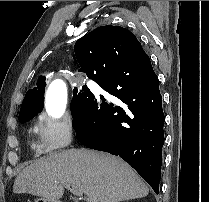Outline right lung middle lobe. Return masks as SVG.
<instances>
[{"mask_svg":"<svg viewBox=\"0 0 209 202\" xmlns=\"http://www.w3.org/2000/svg\"><path fill=\"white\" fill-rule=\"evenodd\" d=\"M92 96L93 93L89 90V88L86 85L82 87H74L73 98L71 102L72 117H77L83 112L88 100ZM42 109L43 106H37L20 110V123H25L31 120L34 116L41 112Z\"/></svg>","mask_w":209,"mask_h":202,"instance_id":"1","label":"right lung middle lobe"}]
</instances>
